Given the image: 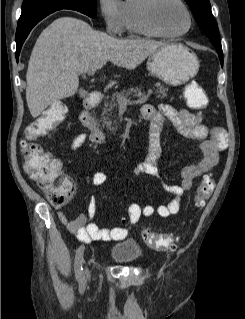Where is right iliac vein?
Wrapping results in <instances>:
<instances>
[{"label": "right iliac vein", "mask_w": 245, "mask_h": 319, "mask_svg": "<svg viewBox=\"0 0 245 319\" xmlns=\"http://www.w3.org/2000/svg\"><path fill=\"white\" fill-rule=\"evenodd\" d=\"M85 276H86V280H88L90 278V272H89V269L87 267L85 268Z\"/></svg>", "instance_id": "right-iliac-vein-1"}]
</instances>
